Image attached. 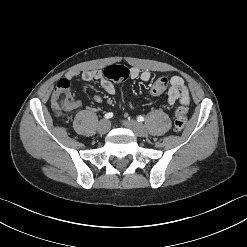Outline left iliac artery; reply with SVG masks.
Returning a JSON list of instances; mask_svg holds the SVG:
<instances>
[{"instance_id": "obj_1", "label": "left iliac artery", "mask_w": 247, "mask_h": 247, "mask_svg": "<svg viewBox=\"0 0 247 247\" xmlns=\"http://www.w3.org/2000/svg\"><path fill=\"white\" fill-rule=\"evenodd\" d=\"M137 121L138 122H143L144 121V117L143 116H138L137 117Z\"/></svg>"}]
</instances>
